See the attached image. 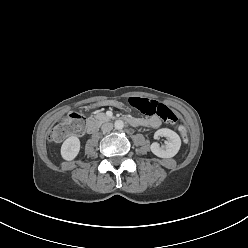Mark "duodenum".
Masks as SVG:
<instances>
[{"label":"duodenum","mask_w":248,"mask_h":248,"mask_svg":"<svg viewBox=\"0 0 248 248\" xmlns=\"http://www.w3.org/2000/svg\"><path fill=\"white\" fill-rule=\"evenodd\" d=\"M125 120L127 123H129L130 125H133V126L140 124V121L136 120V119L127 118ZM97 126H98V121H96V120L89 121L86 124L87 133H93L97 129Z\"/></svg>","instance_id":"410a0bca"}]
</instances>
